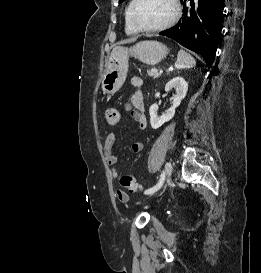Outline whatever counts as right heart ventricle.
Listing matches in <instances>:
<instances>
[{
    "mask_svg": "<svg viewBox=\"0 0 261 273\" xmlns=\"http://www.w3.org/2000/svg\"><path fill=\"white\" fill-rule=\"evenodd\" d=\"M130 4H131V2L129 3V5L126 9V12H125V30L128 34H135V33H137V31H135L132 28V26L130 25L129 20H128V10H129Z\"/></svg>",
    "mask_w": 261,
    "mask_h": 273,
    "instance_id": "right-heart-ventricle-1",
    "label": "right heart ventricle"
}]
</instances>
